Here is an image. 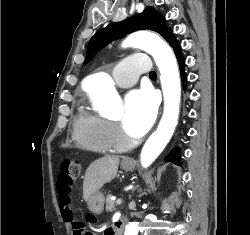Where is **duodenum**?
Wrapping results in <instances>:
<instances>
[{
    "mask_svg": "<svg viewBox=\"0 0 250 235\" xmlns=\"http://www.w3.org/2000/svg\"><path fill=\"white\" fill-rule=\"evenodd\" d=\"M124 218L120 220L119 222H116L113 224L109 234L110 235H123V229H124Z\"/></svg>",
    "mask_w": 250,
    "mask_h": 235,
    "instance_id": "1",
    "label": "duodenum"
}]
</instances>
